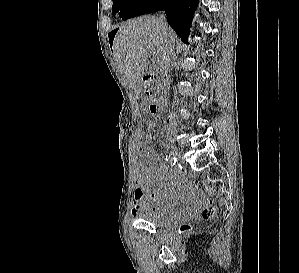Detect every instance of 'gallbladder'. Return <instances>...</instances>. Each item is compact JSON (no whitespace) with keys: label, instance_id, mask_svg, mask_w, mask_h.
Wrapping results in <instances>:
<instances>
[{"label":"gallbladder","instance_id":"bac80fb5","mask_svg":"<svg viewBox=\"0 0 299 273\" xmlns=\"http://www.w3.org/2000/svg\"><path fill=\"white\" fill-rule=\"evenodd\" d=\"M146 70L150 73H154L156 70V66L153 63H151L149 66H147Z\"/></svg>","mask_w":299,"mask_h":273}]
</instances>
